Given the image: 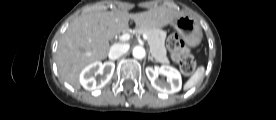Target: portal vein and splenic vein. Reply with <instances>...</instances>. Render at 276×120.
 I'll use <instances>...</instances> for the list:
<instances>
[{
    "label": "portal vein and splenic vein",
    "instance_id": "1",
    "mask_svg": "<svg viewBox=\"0 0 276 120\" xmlns=\"http://www.w3.org/2000/svg\"><path fill=\"white\" fill-rule=\"evenodd\" d=\"M143 38H144L145 40H148V37H147L146 34H143ZM129 39H130V34H129V33H124L123 35H121V36L119 37V40H120V41H128Z\"/></svg>",
    "mask_w": 276,
    "mask_h": 120
}]
</instances>
